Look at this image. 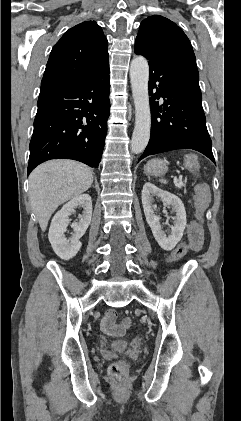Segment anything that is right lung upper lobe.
<instances>
[{"mask_svg":"<svg viewBox=\"0 0 241 421\" xmlns=\"http://www.w3.org/2000/svg\"><path fill=\"white\" fill-rule=\"evenodd\" d=\"M107 39L95 21L69 29L53 47L41 89L90 76L109 64Z\"/></svg>","mask_w":241,"mask_h":421,"instance_id":"1","label":"right lung upper lobe"}]
</instances>
